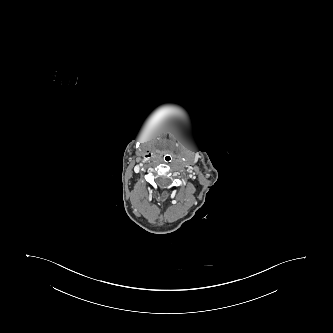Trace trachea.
<instances>
[{
    "label": "trachea",
    "instance_id": "3493384b",
    "mask_svg": "<svg viewBox=\"0 0 333 333\" xmlns=\"http://www.w3.org/2000/svg\"><path fill=\"white\" fill-rule=\"evenodd\" d=\"M161 161L165 166L170 167L174 164L175 159L170 153H165L162 156Z\"/></svg>",
    "mask_w": 333,
    "mask_h": 333
}]
</instances>
